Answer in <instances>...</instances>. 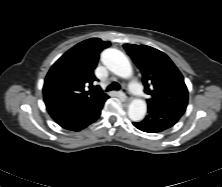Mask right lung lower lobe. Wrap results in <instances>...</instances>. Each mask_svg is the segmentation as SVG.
<instances>
[{
    "label": "right lung lower lobe",
    "instance_id": "obj_1",
    "mask_svg": "<svg viewBox=\"0 0 222 187\" xmlns=\"http://www.w3.org/2000/svg\"><path fill=\"white\" fill-rule=\"evenodd\" d=\"M106 100L88 106H76L55 99L44 101L47 111L57 124L67 130L80 131L96 121Z\"/></svg>",
    "mask_w": 222,
    "mask_h": 187
}]
</instances>
